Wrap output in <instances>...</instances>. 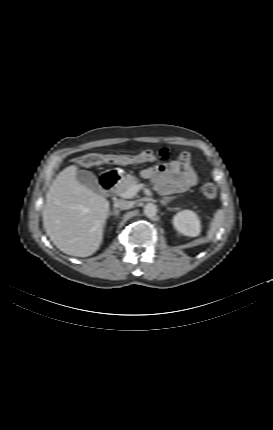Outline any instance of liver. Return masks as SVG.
<instances>
[{"label":"liver","instance_id":"liver-1","mask_svg":"<svg viewBox=\"0 0 273 430\" xmlns=\"http://www.w3.org/2000/svg\"><path fill=\"white\" fill-rule=\"evenodd\" d=\"M77 166L61 171L46 194L43 227L65 254L88 257L99 248L109 201L76 179Z\"/></svg>","mask_w":273,"mask_h":430}]
</instances>
